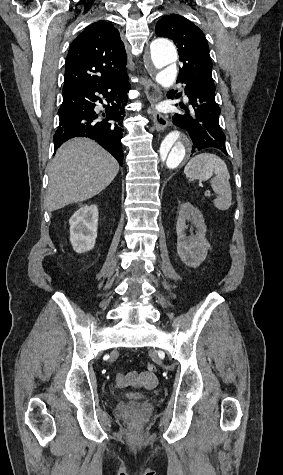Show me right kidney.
<instances>
[{"label":"right kidney","mask_w":283,"mask_h":475,"mask_svg":"<svg viewBox=\"0 0 283 475\" xmlns=\"http://www.w3.org/2000/svg\"><path fill=\"white\" fill-rule=\"evenodd\" d=\"M70 241L73 249L77 253L89 251L95 245L98 226V208L95 204L92 206H81L77 212H74L69 220Z\"/></svg>","instance_id":"right-kidney-1"}]
</instances>
